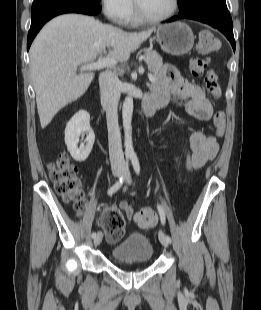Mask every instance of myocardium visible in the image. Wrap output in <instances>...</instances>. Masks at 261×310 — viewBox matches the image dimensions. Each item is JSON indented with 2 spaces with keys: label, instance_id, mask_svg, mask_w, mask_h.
<instances>
[{
  "label": "myocardium",
  "instance_id": "1",
  "mask_svg": "<svg viewBox=\"0 0 261 310\" xmlns=\"http://www.w3.org/2000/svg\"><path fill=\"white\" fill-rule=\"evenodd\" d=\"M133 5L135 16L139 22L146 24H157L172 18L176 14L179 8V0H172V7L169 10V12L160 17H149L146 14H144L136 0H133Z\"/></svg>",
  "mask_w": 261,
  "mask_h": 310
}]
</instances>
